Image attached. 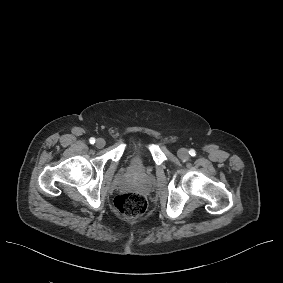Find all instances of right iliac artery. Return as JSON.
<instances>
[{
    "instance_id": "right-iliac-artery-1",
    "label": "right iliac artery",
    "mask_w": 283,
    "mask_h": 283,
    "mask_svg": "<svg viewBox=\"0 0 283 283\" xmlns=\"http://www.w3.org/2000/svg\"><path fill=\"white\" fill-rule=\"evenodd\" d=\"M89 142H90L91 144H94V143H95V138L91 137L90 140H89Z\"/></svg>"
}]
</instances>
